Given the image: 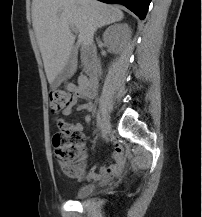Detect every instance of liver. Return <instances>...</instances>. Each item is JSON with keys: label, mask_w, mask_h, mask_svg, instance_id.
Masks as SVG:
<instances>
[{"label": "liver", "mask_w": 202, "mask_h": 217, "mask_svg": "<svg viewBox=\"0 0 202 217\" xmlns=\"http://www.w3.org/2000/svg\"><path fill=\"white\" fill-rule=\"evenodd\" d=\"M123 12L97 0H33L32 21L48 82L63 70L79 31L78 43L88 46L96 30L123 19Z\"/></svg>", "instance_id": "liver-1"}]
</instances>
